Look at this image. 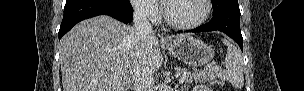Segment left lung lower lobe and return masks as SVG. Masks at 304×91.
Returning a JSON list of instances; mask_svg holds the SVG:
<instances>
[{"instance_id": "obj_1", "label": "left lung lower lobe", "mask_w": 304, "mask_h": 91, "mask_svg": "<svg viewBox=\"0 0 304 91\" xmlns=\"http://www.w3.org/2000/svg\"><path fill=\"white\" fill-rule=\"evenodd\" d=\"M221 31L237 42L243 51V38L240 30V9L238 4L227 6L221 12L213 15L212 20L191 32ZM188 32V31H187Z\"/></svg>"}]
</instances>
